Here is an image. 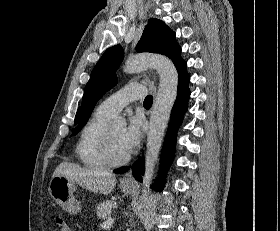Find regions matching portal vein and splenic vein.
Listing matches in <instances>:
<instances>
[{
  "mask_svg": "<svg viewBox=\"0 0 280 231\" xmlns=\"http://www.w3.org/2000/svg\"><path fill=\"white\" fill-rule=\"evenodd\" d=\"M112 223H114V217H108V219H106V221H103L102 223L103 229H106V227H110Z\"/></svg>",
  "mask_w": 280,
  "mask_h": 231,
  "instance_id": "portal-vein-and-splenic-vein-1",
  "label": "portal vein and splenic vein"
}]
</instances>
